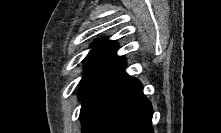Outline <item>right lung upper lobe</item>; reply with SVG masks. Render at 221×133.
I'll list each match as a JSON object with an SVG mask.
<instances>
[{"label": "right lung upper lobe", "mask_w": 221, "mask_h": 133, "mask_svg": "<svg viewBox=\"0 0 221 133\" xmlns=\"http://www.w3.org/2000/svg\"><path fill=\"white\" fill-rule=\"evenodd\" d=\"M117 44L115 41L100 39L94 44L86 58L85 75H102L114 67L125 63V58L116 55Z\"/></svg>", "instance_id": "right-lung-upper-lobe-1"}]
</instances>
